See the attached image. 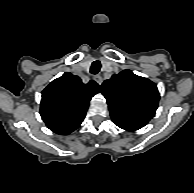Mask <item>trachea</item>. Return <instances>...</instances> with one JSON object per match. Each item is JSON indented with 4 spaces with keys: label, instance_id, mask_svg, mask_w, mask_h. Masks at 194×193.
<instances>
[{
    "label": "trachea",
    "instance_id": "3493384b",
    "mask_svg": "<svg viewBox=\"0 0 194 193\" xmlns=\"http://www.w3.org/2000/svg\"><path fill=\"white\" fill-rule=\"evenodd\" d=\"M100 68H101V63L100 61L96 60L91 65L90 73L95 75L100 71Z\"/></svg>",
    "mask_w": 194,
    "mask_h": 193
}]
</instances>
